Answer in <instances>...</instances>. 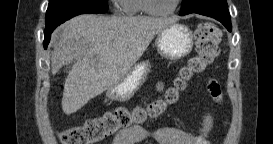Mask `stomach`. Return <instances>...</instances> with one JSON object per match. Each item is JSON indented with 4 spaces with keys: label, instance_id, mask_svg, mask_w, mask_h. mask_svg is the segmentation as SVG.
I'll return each instance as SVG.
<instances>
[{
    "label": "stomach",
    "instance_id": "1",
    "mask_svg": "<svg viewBox=\"0 0 273 144\" xmlns=\"http://www.w3.org/2000/svg\"><path fill=\"white\" fill-rule=\"evenodd\" d=\"M155 45L162 57L181 59L193 48V34L188 26L173 23L157 34ZM150 71L149 61L135 64L119 83L107 90V97L120 102L130 99L143 85Z\"/></svg>",
    "mask_w": 273,
    "mask_h": 144
}]
</instances>
